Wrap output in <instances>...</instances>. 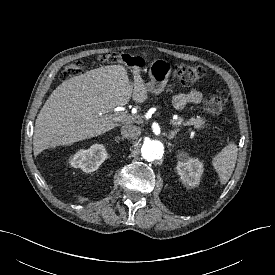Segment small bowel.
Returning <instances> with one entry per match:
<instances>
[{
    "label": "small bowel",
    "instance_id": "c3829d8e",
    "mask_svg": "<svg viewBox=\"0 0 275 275\" xmlns=\"http://www.w3.org/2000/svg\"><path fill=\"white\" fill-rule=\"evenodd\" d=\"M201 99H202V94L199 91L191 90L188 93L178 94L174 98V105L176 106V108L180 109L189 103L197 104L201 101Z\"/></svg>",
    "mask_w": 275,
    "mask_h": 275
}]
</instances>
